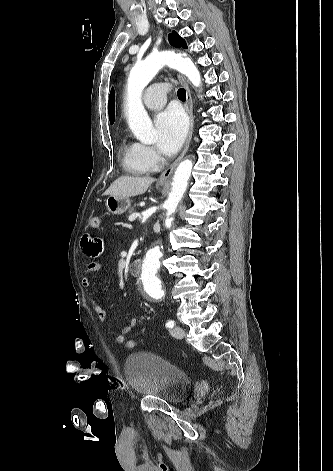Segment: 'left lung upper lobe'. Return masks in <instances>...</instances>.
Listing matches in <instances>:
<instances>
[{
  "label": "left lung upper lobe",
  "mask_w": 333,
  "mask_h": 471,
  "mask_svg": "<svg viewBox=\"0 0 333 471\" xmlns=\"http://www.w3.org/2000/svg\"><path fill=\"white\" fill-rule=\"evenodd\" d=\"M168 38L172 46L187 48L185 41L175 31L169 34Z\"/></svg>",
  "instance_id": "obj_1"
}]
</instances>
